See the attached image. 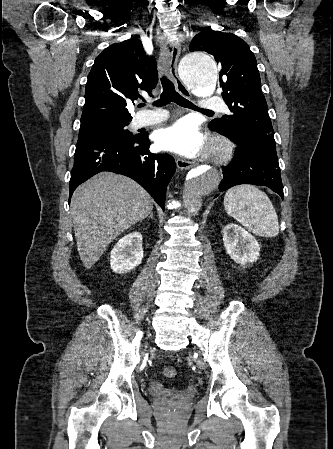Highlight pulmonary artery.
I'll return each instance as SVG.
<instances>
[{"instance_id": "e3ab8cb5", "label": "pulmonary artery", "mask_w": 333, "mask_h": 449, "mask_svg": "<svg viewBox=\"0 0 333 449\" xmlns=\"http://www.w3.org/2000/svg\"><path fill=\"white\" fill-rule=\"evenodd\" d=\"M198 108L209 110L225 107L221 98L217 96H208L199 102ZM166 116V113L163 111H144L136 117L135 125L138 127L152 125L164 120Z\"/></svg>"}]
</instances>
